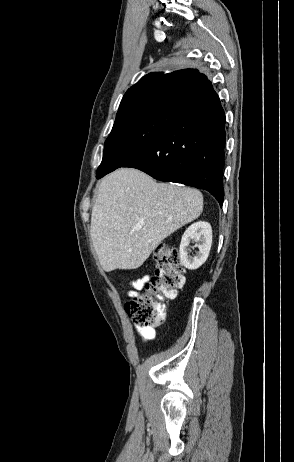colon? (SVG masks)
<instances>
[{
  "instance_id": "obj_1",
  "label": "colon",
  "mask_w": 294,
  "mask_h": 462,
  "mask_svg": "<svg viewBox=\"0 0 294 462\" xmlns=\"http://www.w3.org/2000/svg\"><path fill=\"white\" fill-rule=\"evenodd\" d=\"M156 271L144 292L129 300L125 309L134 323L153 326L164 321L167 306L164 299H172L184 284V268L177 249L159 245L153 252Z\"/></svg>"
}]
</instances>
